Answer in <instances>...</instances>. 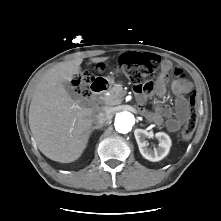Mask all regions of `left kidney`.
Masks as SVG:
<instances>
[{"mask_svg":"<svg viewBox=\"0 0 221 221\" xmlns=\"http://www.w3.org/2000/svg\"><path fill=\"white\" fill-rule=\"evenodd\" d=\"M139 151L141 155L152 162L162 160L169 153L171 147V139L164 132H158L155 134V137L159 140L158 148L151 150L147 147L146 138L153 136L150 132H147L143 129H137L134 132Z\"/></svg>","mask_w":221,"mask_h":221,"instance_id":"1","label":"left kidney"}]
</instances>
